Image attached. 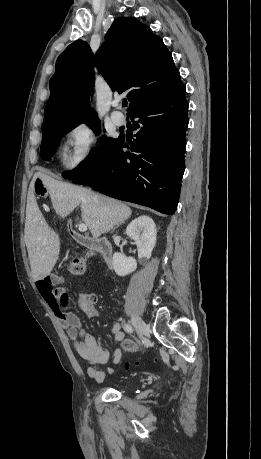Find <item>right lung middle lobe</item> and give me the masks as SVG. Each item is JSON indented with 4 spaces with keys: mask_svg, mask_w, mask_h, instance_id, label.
Returning a JSON list of instances; mask_svg holds the SVG:
<instances>
[{
    "mask_svg": "<svg viewBox=\"0 0 261 459\" xmlns=\"http://www.w3.org/2000/svg\"><path fill=\"white\" fill-rule=\"evenodd\" d=\"M80 123L81 122L64 123L43 130L41 143L42 157L45 160H49L55 153L61 137L74 129ZM87 123L93 128L96 135L100 133V123L98 119L88 121ZM117 140L118 138L113 139L103 137L101 145L93 153L81 162L77 168L72 171L65 172L63 176L68 177L69 179H76L96 169L105 161L108 153Z\"/></svg>",
    "mask_w": 261,
    "mask_h": 459,
    "instance_id": "1",
    "label": "right lung middle lobe"
}]
</instances>
